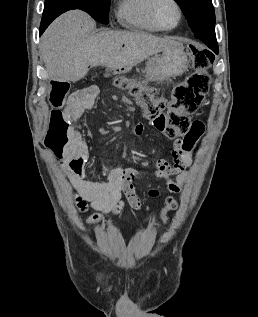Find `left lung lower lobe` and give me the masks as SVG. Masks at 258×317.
I'll return each instance as SVG.
<instances>
[{
    "label": "left lung lower lobe",
    "instance_id": "0a47b994",
    "mask_svg": "<svg viewBox=\"0 0 258 317\" xmlns=\"http://www.w3.org/2000/svg\"><path fill=\"white\" fill-rule=\"evenodd\" d=\"M194 36L203 41L211 50L218 54V44L215 29H200L194 32Z\"/></svg>",
    "mask_w": 258,
    "mask_h": 317
}]
</instances>
